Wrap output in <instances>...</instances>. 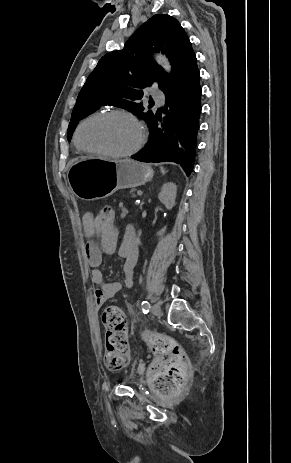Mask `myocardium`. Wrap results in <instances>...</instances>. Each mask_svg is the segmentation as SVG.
Wrapping results in <instances>:
<instances>
[{
  "label": "myocardium",
  "mask_w": 291,
  "mask_h": 463,
  "mask_svg": "<svg viewBox=\"0 0 291 463\" xmlns=\"http://www.w3.org/2000/svg\"><path fill=\"white\" fill-rule=\"evenodd\" d=\"M114 115L127 118L136 127L138 137H137V141L135 145L132 148L125 150V151H110V150H104V149H92V148L85 147L81 144L80 131L87 122L97 117L114 116ZM145 137H146V133H145L143 124L132 112L125 110V109H110V110L95 112L87 116L86 118H84L78 124L75 130L74 143L78 149L88 154L102 155V156H107V157H112V158H124V157H130L136 154L142 148L145 142Z\"/></svg>",
  "instance_id": "obj_1"
}]
</instances>
